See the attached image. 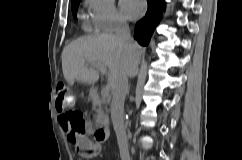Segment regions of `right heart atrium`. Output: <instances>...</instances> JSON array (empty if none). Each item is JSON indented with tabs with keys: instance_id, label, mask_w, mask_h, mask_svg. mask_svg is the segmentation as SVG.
I'll list each match as a JSON object with an SVG mask.
<instances>
[{
	"instance_id": "right-heart-atrium-1",
	"label": "right heart atrium",
	"mask_w": 242,
	"mask_h": 160,
	"mask_svg": "<svg viewBox=\"0 0 242 160\" xmlns=\"http://www.w3.org/2000/svg\"><path fill=\"white\" fill-rule=\"evenodd\" d=\"M87 6L94 32L111 33L127 25L114 0H87Z\"/></svg>"
}]
</instances>
